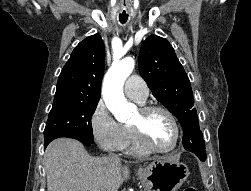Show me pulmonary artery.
<instances>
[{"instance_id": "1", "label": "pulmonary artery", "mask_w": 251, "mask_h": 191, "mask_svg": "<svg viewBox=\"0 0 251 191\" xmlns=\"http://www.w3.org/2000/svg\"><path fill=\"white\" fill-rule=\"evenodd\" d=\"M125 94L136 101L146 100L149 90L146 82L138 75L128 76L124 83Z\"/></svg>"}]
</instances>
